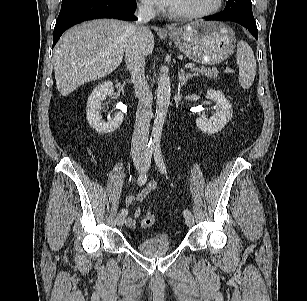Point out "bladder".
Returning <instances> with one entry per match:
<instances>
[{"mask_svg": "<svg viewBox=\"0 0 307 301\" xmlns=\"http://www.w3.org/2000/svg\"><path fill=\"white\" fill-rule=\"evenodd\" d=\"M136 248L146 256L159 257L172 249V244L165 233L143 238L136 243Z\"/></svg>", "mask_w": 307, "mask_h": 301, "instance_id": "bladder-1", "label": "bladder"}]
</instances>
